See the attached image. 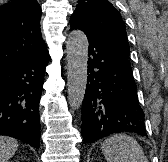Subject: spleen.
I'll return each instance as SVG.
<instances>
[{"label":"spleen","mask_w":168,"mask_h":162,"mask_svg":"<svg viewBox=\"0 0 168 162\" xmlns=\"http://www.w3.org/2000/svg\"><path fill=\"white\" fill-rule=\"evenodd\" d=\"M101 150L107 162H148L138 142L126 134L110 136Z\"/></svg>","instance_id":"1"}]
</instances>
